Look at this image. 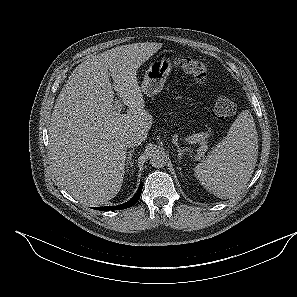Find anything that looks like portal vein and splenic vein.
<instances>
[{"label":"portal vein and splenic vein","mask_w":297,"mask_h":297,"mask_svg":"<svg viewBox=\"0 0 297 297\" xmlns=\"http://www.w3.org/2000/svg\"><path fill=\"white\" fill-rule=\"evenodd\" d=\"M122 109V103L120 101V99H116L115 103H114V111L115 113L119 114L121 112ZM189 143H194L192 140H188ZM208 146L207 145H201L198 150H197V154L199 157H203L204 153L207 151Z\"/></svg>","instance_id":"1"}]
</instances>
